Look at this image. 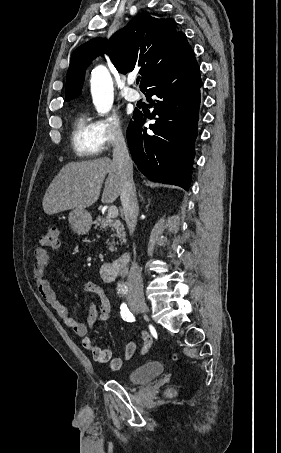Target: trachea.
<instances>
[{
  "instance_id": "trachea-1",
  "label": "trachea",
  "mask_w": 281,
  "mask_h": 453,
  "mask_svg": "<svg viewBox=\"0 0 281 453\" xmlns=\"http://www.w3.org/2000/svg\"><path fill=\"white\" fill-rule=\"evenodd\" d=\"M140 82V77H137L136 83L138 84Z\"/></svg>"
}]
</instances>
